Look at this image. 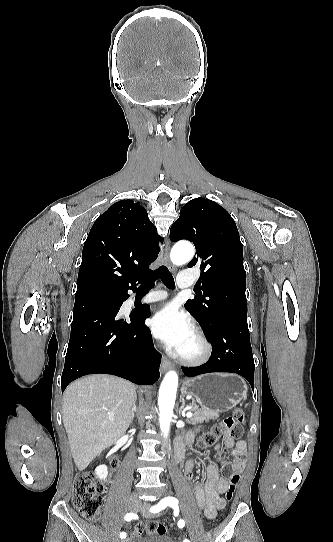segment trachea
Segmentation results:
<instances>
[{
    "label": "trachea",
    "instance_id": "obj_1",
    "mask_svg": "<svg viewBox=\"0 0 333 542\" xmlns=\"http://www.w3.org/2000/svg\"><path fill=\"white\" fill-rule=\"evenodd\" d=\"M158 278H161L162 282L168 289H174L175 288V282L174 278L171 274V272L168 270L167 267L162 265L159 267L155 272L153 273L152 277L150 279H147L143 282H141L140 289H150L154 287V282Z\"/></svg>",
    "mask_w": 333,
    "mask_h": 542
}]
</instances>
